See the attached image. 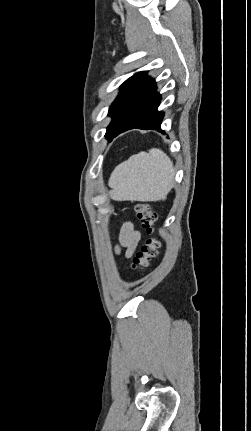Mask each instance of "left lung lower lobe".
<instances>
[{
  "label": "left lung lower lobe",
  "mask_w": 251,
  "mask_h": 431,
  "mask_svg": "<svg viewBox=\"0 0 251 431\" xmlns=\"http://www.w3.org/2000/svg\"><path fill=\"white\" fill-rule=\"evenodd\" d=\"M160 100L161 96L156 91L155 81L148 77L108 140L111 141L120 133L134 128L160 131L164 116L162 112L157 111Z\"/></svg>",
  "instance_id": "obj_1"
}]
</instances>
